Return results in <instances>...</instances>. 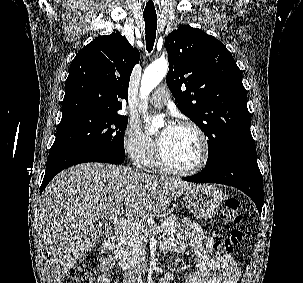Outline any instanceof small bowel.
<instances>
[{
  "label": "small bowel",
  "mask_w": 303,
  "mask_h": 283,
  "mask_svg": "<svg viewBox=\"0 0 303 283\" xmlns=\"http://www.w3.org/2000/svg\"><path fill=\"white\" fill-rule=\"evenodd\" d=\"M187 247L192 250L199 272L188 276L181 283H238L241 270L235 260L230 255L216 253L214 239L205 236L196 223L184 219L179 231L163 243L162 253L184 252ZM113 265L112 257L101 259L98 283H111L108 271ZM173 282L171 273L165 274L161 280V283Z\"/></svg>",
  "instance_id": "obj_1"
}]
</instances>
